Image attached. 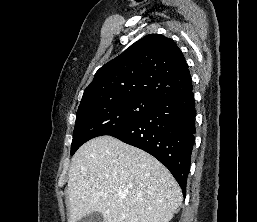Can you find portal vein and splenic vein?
Listing matches in <instances>:
<instances>
[{
    "instance_id": "obj_1",
    "label": "portal vein and splenic vein",
    "mask_w": 257,
    "mask_h": 222,
    "mask_svg": "<svg viewBox=\"0 0 257 222\" xmlns=\"http://www.w3.org/2000/svg\"><path fill=\"white\" fill-rule=\"evenodd\" d=\"M121 197H123V198H124V197H125V195H124V194H122V195H121Z\"/></svg>"
}]
</instances>
